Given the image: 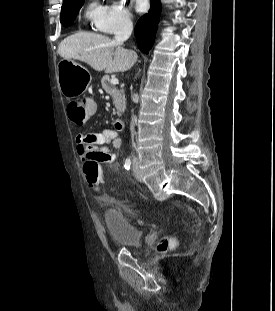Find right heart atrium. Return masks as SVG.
Listing matches in <instances>:
<instances>
[{
	"instance_id": "obj_1",
	"label": "right heart atrium",
	"mask_w": 275,
	"mask_h": 311,
	"mask_svg": "<svg viewBox=\"0 0 275 311\" xmlns=\"http://www.w3.org/2000/svg\"><path fill=\"white\" fill-rule=\"evenodd\" d=\"M95 27L108 35L129 31L133 27V16L128 5L117 0L110 2L104 7Z\"/></svg>"
}]
</instances>
